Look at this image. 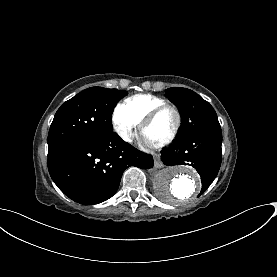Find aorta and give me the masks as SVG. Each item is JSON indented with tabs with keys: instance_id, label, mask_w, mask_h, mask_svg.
Masks as SVG:
<instances>
[{
	"instance_id": "1",
	"label": "aorta",
	"mask_w": 277,
	"mask_h": 277,
	"mask_svg": "<svg viewBox=\"0 0 277 277\" xmlns=\"http://www.w3.org/2000/svg\"><path fill=\"white\" fill-rule=\"evenodd\" d=\"M158 196L165 202L184 203L195 197L201 190L198 174L187 167H167L154 180Z\"/></svg>"
}]
</instances>
